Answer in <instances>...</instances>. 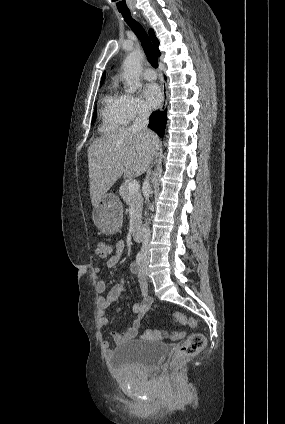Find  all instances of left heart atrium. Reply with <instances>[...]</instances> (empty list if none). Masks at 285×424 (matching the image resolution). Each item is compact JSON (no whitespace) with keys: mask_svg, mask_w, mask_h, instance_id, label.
I'll return each mask as SVG.
<instances>
[{"mask_svg":"<svg viewBox=\"0 0 285 424\" xmlns=\"http://www.w3.org/2000/svg\"><path fill=\"white\" fill-rule=\"evenodd\" d=\"M147 102L152 107H157L162 101V93L159 86L155 83L147 84L143 90Z\"/></svg>","mask_w":285,"mask_h":424,"instance_id":"1","label":"left heart atrium"}]
</instances>
